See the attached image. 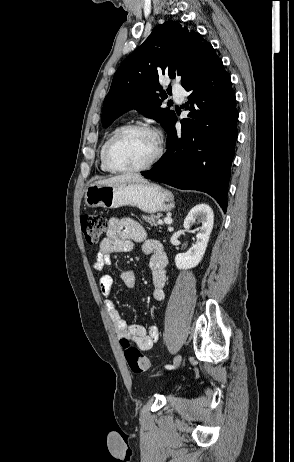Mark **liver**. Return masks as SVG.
Masks as SVG:
<instances>
[{"label":"liver","instance_id":"6515ba94","mask_svg":"<svg viewBox=\"0 0 294 462\" xmlns=\"http://www.w3.org/2000/svg\"><path fill=\"white\" fill-rule=\"evenodd\" d=\"M122 182H147L143 177L138 174H123L114 176L108 179L99 180L96 182L98 185H107V184H114V183H122Z\"/></svg>","mask_w":294,"mask_h":462}]
</instances>
